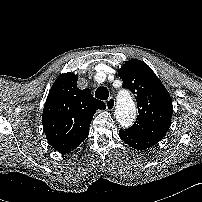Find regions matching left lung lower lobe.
Here are the masks:
<instances>
[{
	"instance_id": "0a47b994",
	"label": "left lung lower lobe",
	"mask_w": 202,
	"mask_h": 202,
	"mask_svg": "<svg viewBox=\"0 0 202 202\" xmlns=\"http://www.w3.org/2000/svg\"><path fill=\"white\" fill-rule=\"evenodd\" d=\"M119 136L129 146H131L137 150H145L147 148H150V147L156 145L160 141V140L153 139V138L137 136V135L129 132L127 129H125V130L120 129Z\"/></svg>"
}]
</instances>
